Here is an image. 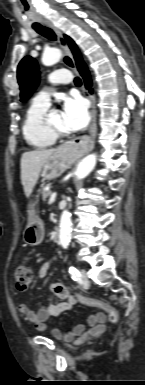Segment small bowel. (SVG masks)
I'll use <instances>...</instances> for the list:
<instances>
[{
  "label": "small bowel",
  "instance_id": "c3829d8e",
  "mask_svg": "<svg viewBox=\"0 0 145 385\" xmlns=\"http://www.w3.org/2000/svg\"><path fill=\"white\" fill-rule=\"evenodd\" d=\"M56 263V259L52 258L49 261L42 264L38 269L39 278H45L50 271L51 267ZM60 285L64 290V295L58 294L55 291L56 286ZM52 292L58 296L60 302H50L45 305H41L37 312L33 311L28 305H18L19 313L27 320L32 322L37 330L44 332L48 329L47 320L51 317H58L62 313L72 309L78 302H81L80 296L72 295L68 288L61 283H55L52 285ZM105 315L103 313H94L87 317L84 323H80L73 327L70 331L63 332L59 328L54 327L51 329V334L54 338L62 341H74L75 344H79L85 340L99 337L106 330Z\"/></svg>",
  "mask_w": 145,
  "mask_h": 385
}]
</instances>
